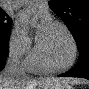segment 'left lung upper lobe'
Instances as JSON below:
<instances>
[{"instance_id":"5c2ea615","label":"left lung upper lobe","mask_w":89,"mask_h":89,"mask_svg":"<svg viewBox=\"0 0 89 89\" xmlns=\"http://www.w3.org/2000/svg\"><path fill=\"white\" fill-rule=\"evenodd\" d=\"M50 8L65 22L78 47L89 37V0H51Z\"/></svg>"}]
</instances>
